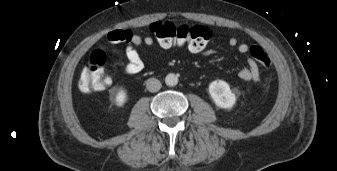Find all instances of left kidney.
Wrapping results in <instances>:
<instances>
[{"label":"left kidney","mask_w":337,"mask_h":171,"mask_svg":"<svg viewBox=\"0 0 337 171\" xmlns=\"http://www.w3.org/2000/svg\"><path fill=\"white\" fill-rule=\"evenodd\" d=\"M209 93L215 104L224 109L232 108L236 103V96L230 86L223 80H215L209 85Z\"/></svg>","instance_id":"obj_1"}]
</instances>
